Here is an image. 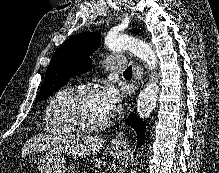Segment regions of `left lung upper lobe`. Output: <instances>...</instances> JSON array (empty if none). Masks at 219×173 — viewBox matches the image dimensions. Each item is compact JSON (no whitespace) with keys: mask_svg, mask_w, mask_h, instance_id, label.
<instances>
[{"mask_svg":"<svg viewBox=\"0 0 219 173\" xmlns=\"http://www.w3.org/2000/svg\"><path fill=\"white\" fill-rule=\"evenodd\" d=\"M99 46L100 35L95 32L76 34L65 41L53 54L35 103L57 91L69 78L89 71L92 68L89 56Z\"/></svg>","mask_w":219,"mask_h":173,"instance_id":"1","label":"left lung upper lobe"}]
</instances>
